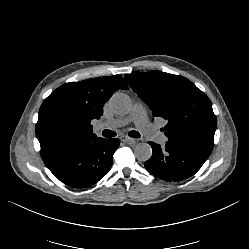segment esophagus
Segmentation results:
<instances>
[{"instance_id":"esophagus-1","label":"esophagus","mask_w":249,"mask_h":249,"mask_svg":"<svg viewBox=\"0 0 249 249\" xmlns=\"http://www.w3.org/2000/svg\"><path fill=\"white\" fill-rule=\"evenodd\" d=\"M121 141L124 143H133L135 140L133 138L127 137V136H121Z\"/></svg>"}]
</instances>
